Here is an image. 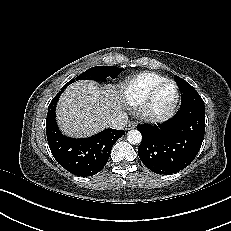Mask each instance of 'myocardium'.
Returning <instances> with one entry per match:
<instances>
[{"label":"myocardium","mask_w":231,"mask_h":231,"mask_svg":"<svg viewBox=\"0 0 231 231\" xmlns=\"http://www.w3.org/2000/svg\"><path fill=\"white\" fill-rule=\"evenodd\" d=\"M166 84H171L174 87V95L170 104L162 110H155L152 106V100L157 92ZM180 92L177 83L171 79H164L154 86L145 98L142 100L138 107V114L140 117L152 124L162 123L167 121L174 114L179 103Z\"/></svg>","instance_id":"f54148a6"}]
</instances>
